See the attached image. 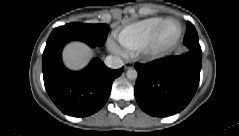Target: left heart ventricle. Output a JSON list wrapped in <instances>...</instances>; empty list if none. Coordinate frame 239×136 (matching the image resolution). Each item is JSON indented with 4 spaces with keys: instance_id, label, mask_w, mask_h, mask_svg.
<instances>
[{
    "instance_id": "b2bd125f",
    "label": "left heart ventricle",
    "mask_w": 239,
    "mask_h": 136,
    "mask_svg": "<svg viewBox=\"0 0 239 136\" xmlns=\"http://www.w3.org/2000/svg\"><path fill=\"white\" fill-rule=\"evenodd\" d=\"M178 32L179 28L174 23L164 26L156 39L155 47L166 48L171 46L177 38Z\"/></svg>"
}]
</instances>
